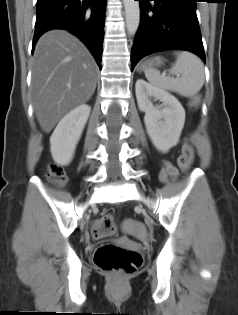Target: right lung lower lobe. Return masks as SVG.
I'll use <instances>...</instances> for the list:
<instances>
[{
	"instance_id": "right-lung-lower-lobe-1",
	"label": "right lung lower lobe",
	"mask_w": 238,
	"mask_h": 315,
	"mask_svg": "<svg viewBox=\"0 0 238 315\" xmlns=\"http://www.w3.org/2000/svg\"><path fill=\"white\" fill-rule=\"evenodd\" d=\"M105 10L106 0H37L33 47L44 32L65 29L83 41L101 69Z\"/></svg>"
}]
</instances>
